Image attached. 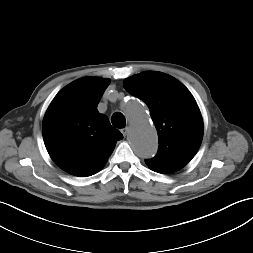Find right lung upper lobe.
<instances>
[{
  "mask_svg": "<svg viewBox=\"0 0 253 253\" xmlns=\"http://www.w3.org/2000/svg\"><path fill=\"white\" fill-rule=\"evenodd\" d=\"M109 79L80 78L62 89L43 120V139L53 161L64 171L91 176L106 164L123 135L97 105Z\"/></svg>",
  "mask_w": 253,
  "mask_h": 253,
  "instance_id": "obj_1",
  "label": "right lung upper lobe"
}]
</instances>
